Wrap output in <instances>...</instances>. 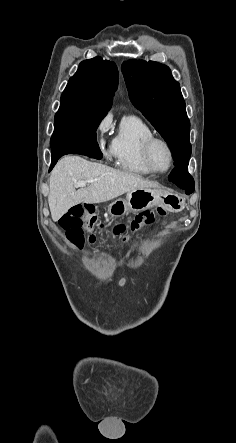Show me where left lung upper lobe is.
I'll return each mask as SVG.
<instances>
[{"instance_id":"1","label":"left lung upper lobe","mask_w":236,"mask_h":443,"mask_svg":"<svg viewBox=\"0 0 236 443\" xmlns=\"http://www.w3.org/2000/svg\"><path fill=\"white\" fill-rule=\"evenodd\" d=\"M129 97L169 145L174 165L188 164L190 121L179 83L166 65L130 60L122 65Z\"/></svg>"}]
</instances>
